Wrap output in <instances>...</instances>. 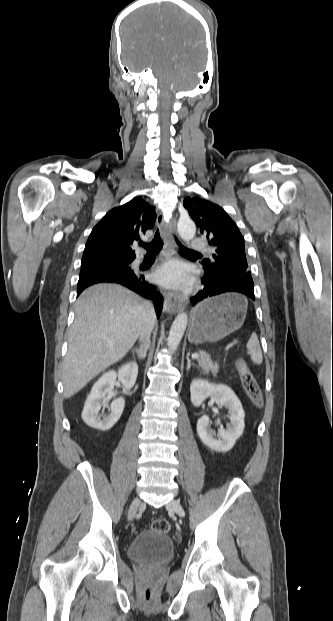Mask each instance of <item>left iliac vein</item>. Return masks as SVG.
Masks as SVG:
<instances>
[{
    "instance_id": "4c4485c4",
    "label": "left iliac vein",
    "mask_w": 333,
    "mask_h": 621,
    "mask_svg": "<svg viewBox=\"0 0 333 621\" xmlns=\"http://www.w3.org/2000/svg\"><path fill=\"white\" fill-rule=\"evenodd\" d=\"M167 508L169 510H173L174 512H176L180 517L183 516L184 514V510L181 506V504L177 501V500H172L168 505Z\"/></svg>"
}]
</instances>
